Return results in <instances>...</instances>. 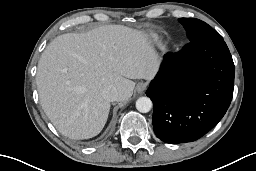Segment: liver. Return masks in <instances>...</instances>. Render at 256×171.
<instances>
[{
	"label": "liver",
	"instance_id": "obj_1",
	"mask_svg": "<svg viewBox=\"0 0 256 171\" xmlns=\"http://www.w3.org/2000/svg\"><path fill=\"white\" fill-rule=\"evenodd\" d=\"M158 65V56L142 31L106 25L60 35L38 62L41 106L64 136L92 138L101 132L110 111L102 91L115 87L118 101H125L135 87L131 79H152Z\"/></svg>",
	"mask_w": 256,
	"mask_h": 171
}]
</instances>
